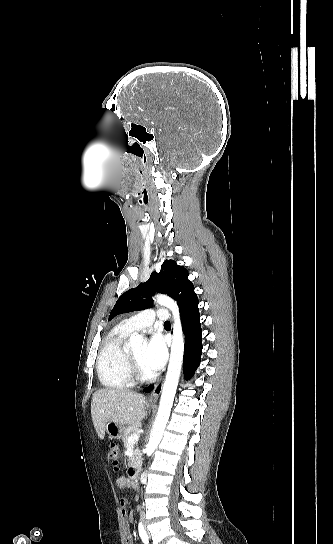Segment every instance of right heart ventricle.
I'll list each match as a JSON object with an SVG mask.
<instances>
[{"instance_id": "1", "label": "right heart ventricle", "mask_w": 333, "mask_h": 544, "mask_svg": "<svg viewBox=\"0 0 333 544\" xmlns=\"http://www.w3.org/2000/svg\"><path fill=\"white\" fill-rule=\"evenodd\" d=\"M131 333L123 325L113 329L103 340L96 363L101 384L110 389H126L134 384L128 363L126 338Z\"/></svg>"}]
</instances>
